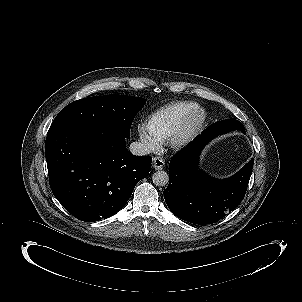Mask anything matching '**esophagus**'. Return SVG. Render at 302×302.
I'll return each mask as SVG.
<instances>
[{
	"label": "esophagus",
	"instance_id": "1",
	"mask_svg": "<svg viewBox=\"0 0 302 302\" xmlns=\"http://www.w3.org/2000/svg\"><path fill=\"white\" fill-rule=\"evenodd\" d=\"M164 165H165V161L163 158H161V157L153 158L152 166L154 169L161 170V169H163Z\"/></svg>",
	"mask_w": 302,
	"mask_h": 302
}]
</instances>
